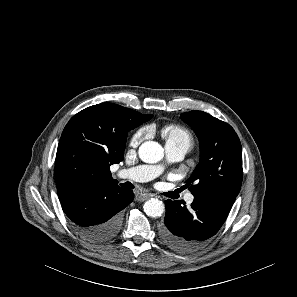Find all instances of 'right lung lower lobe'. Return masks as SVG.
<instances>
[{
	"mask_svg": "<svg viewBox=\"0 0 297 297\" xmlns=\"http://www.w3.org/2000/svg\"><path fill=\"white\" fill-rule=\"evenodd\" d=\"M134 199L133 191L117 182L86 180L63 195L60 202L75 229L86 239L107 242L117 236L122 210Z\"/></svg>",
	"mask_w": 297,
	"mask_h": 297,
	"instance_id": "right-lung-lower-lobe-1",
	"label": "right lung lower lobe"
}]
</instances>
